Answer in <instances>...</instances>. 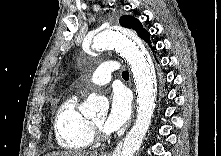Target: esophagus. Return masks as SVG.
<instances>
[{
    "instance_id": "obj_1",
    "label": "esophagus",
    "mask_w": 221,
    "mask_h": 156,
    "mask_svg": "<svg viewBox=\"0 0 221 156\" xmlns=\"http://www.w3.org/2000/svg\"><path fill=\"white\" fill-rule=\"evenodd\" d=\"M102 156H108V154H107V153H104V154H102Z\"/></svg>"
}]
</instances>
